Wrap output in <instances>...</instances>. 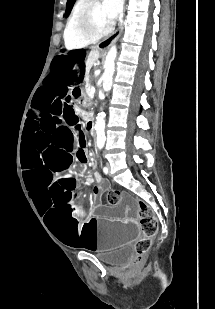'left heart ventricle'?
Instances as JSON below:
<instances>
[{"mask_svg":"<svg viewBox=\"0 0 215 309\" xmlns=\"http://www.w3.org/2000/svg\"><path fill=\"white\" fill-rule=\"evenodd\" d=\"M87 13H92L93 20H89V22H92V25H95V27H100V25H105V10H92Z\"/></svg>","mask_w":215,"mask_h":309,"instance_id":"b2bd125f","label":"left heart ventricle"}]
</instances>
